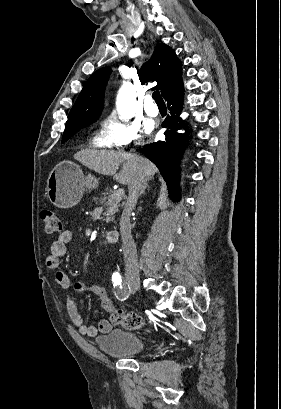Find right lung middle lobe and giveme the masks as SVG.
Returning <instances> with one entry per match:
<instances>
[{"label": "right lung middle lobe", "mask_w": 281, "mask_h": 409, "mask_svg": "<svg viewBox=\"0 0 281 409\" xmlns=\"http://www.w3.org/2000/svg\"><path fill=\"white\" fill-rule=\"evenodd\" d=\"M92 124V123H90ZM83 125V126H78V127H66L64 134H63V138H62V143H64L65 141H67L69 138H71L75 133H77L80 129L90 125Z\"/></svg>", "instance_id": "right-lung-middle-lobe-1"}]
</instances>
